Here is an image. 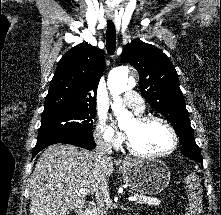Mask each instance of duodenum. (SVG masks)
I'll use <instances>...</instances> for the list:
<instances>
[{"label": "duodenum", "instance_id": "410a0bca", "mask_svg": "<svg viewBox=\"0 0 221 215\" xmlns=\"http://www.w3.org/2000/svg\"><path fill=\"white\" fill-rule=\"evenodd\" d=\"M95 212V205L92 202H87L82 207L79 215H94Z\"/></svg>", "mask_w": 221, "mask_h": 215}]
</instances>
